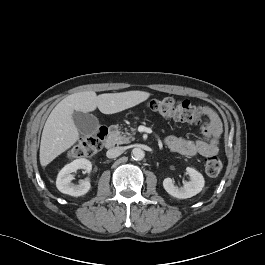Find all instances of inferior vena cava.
Returning a JSON list of instances; mask_svg holds the SVG:
<instances>
[{
    "instance_id": "602c4592",
    "label": "inferior vena cava",
    "mask_w": 265,
    "mask_h": 265,
    "mask_svg": "<svg viewBox=\"0 0 265 265\" xmlns=\"http://www.w3.org/2000/svg\"><path fill=\"white\" fill-rule=\"evenodd\" d=\"M124 152L123 147H114L107 151L106 156L108 158H116Z\"/></svg>"
}]
</instances>
